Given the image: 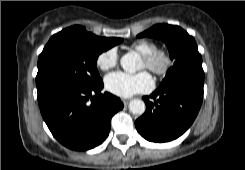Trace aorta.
<instances>
[{
  "instance_id": "1",
  "label": "aorta",
  "mask_w": 245,
  "mask_h": 170,
  "mask_svg": "<svg viewBox=\"0 0 245 170\" xmlns=\"http://www.w3.org/2000/svg\"><path fill=\"white\" fill-rule=\"evenodd\" d=\"M138 62L139 56L135 52H128L120 59L121 67L128 73H134L137 70ZM145 109V103L140 99H133L129 103V110L133 114L142 115Z\"/></svg>"
}]
</instances>
